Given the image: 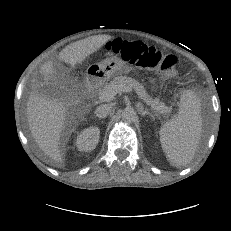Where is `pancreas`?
Segmentation results:
<instances>
[{
  "label": "pancreas",
  "instance_id": "pancreas-1",
  "mask_svg": "<svg viewBox=\"0 0 231 231\" xmlns=\"http://www.w3.org/2000/svg\"><path fill=\"white\" fill-rule=\"evenodd\" d=\"M121 84L127 85L131 89L135 90L138 97L142 99L147 105L151 106V108L155 112L159 114H168L171 112L170 107L166 106L165 103L160 101L158 98L153 99L150 95L146 93L144 86H142L137 80L131 77L117 76L109 83H105L103 88H100L99 90H97V93L100 94L101 92L106 91L110 87H113L115 85H121Z\"/></svg>",
  "mask_w": 231,
  "mask_h": 231
}]
</instances>
